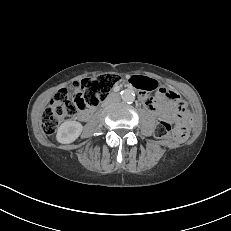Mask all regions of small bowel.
Masks as SVG:
<instances>
[{
    "instance_id": "small-bowel-1",
    "label": "small bowel",
    "mask_w": 231,
    "mask_h": 231,
    "mask_svg": "<svg viewBox=\"0 0 231 231\" xmlns=\"http://www.w3.org/2000/svg\"><path fill=\"white\" fill-rule=\"evenodd\" d=\"M146 78L154 83H156V81L152 78L149 77H143ZM169 93H170V98L167 99V101L164 104H160L157 101L151 99L150 97H148V95L143 94V97L148 99V105H146L151 113L153 114V116H155L156 118H160L162 116H167L169 114L172 113L174 107L176 104H180V97L178 96V94L176 92H174L171 89H168ZM88 117V113H82L81 118L82 119H86Z\"/></svg>"
}]
</instances>
